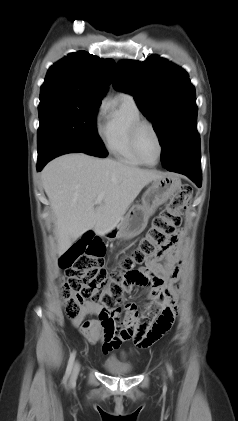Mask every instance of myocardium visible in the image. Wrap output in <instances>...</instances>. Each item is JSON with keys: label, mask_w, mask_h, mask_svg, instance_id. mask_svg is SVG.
<instances>
[{"label": "myocardium", "mask_w": 238, "mask_h": 421, "mask_svg": "<svg viewBox=\"0 0 238 421\" xmlns=\"http://www.w3.org/2000/svg\"><path fill=\"white\" fill-rule=\"evenodd\" d=\"M145 126L149 127L152 130L159 147L158 157L154 163H149L144 159L138 145L139 134L142 128ZM131 144H132V148L135 155L144 165L155 166L156 164H158L163 153V144H162V140L156 126L150 120L142 118L134 124L131 131Z\"/></svg>", "instance_id": "obj_1"}]
</instances>
